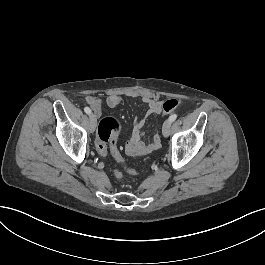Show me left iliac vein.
<instances>
[{
  "mask_svg": "<svg viewBox=\"0 0 265 265\" xmlns=\"http://www.w3.org/2000/svg\"><path fill=\"white\" fill-rule=\"evenodd\" d=\"M170 127H171V121L168 119V120H166V121L164 122V124H163V129H162V131H163V135H164L165 137H167V136L169 135V133H170Z\"/></svg>",
  "mask_w": 265,
  "mask_h": 265,
  "instance_id": "obj_1",
  "label": "left iliac vein"
}]
</instances>
